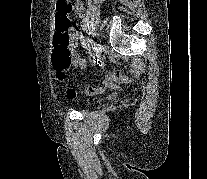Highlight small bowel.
<instances>
[{"mask_svg":"<svg viewBox=\"0 0 207 179\" xmlns=\"http://www.w3.org/2000/svg\"><path fill=\"white\" fill-rule=\"evenodd\" d=\"M103 0H88V5L89 7H95L97 5H99ZM75 14L82 18V25H84L85 20H84V8L83 5L81 4V2L79 0H76V4H75ZM72 32L70 34L71 37V42H70V47L72 49V53H73V63L76 67H80V68H84L86 66L85 64V60L78 55L75 52V48L78 45V34L76 32H74L73 28H71Z\"/></svg>","mask_w":207,"mask_h":179,"instance_id":"c3829d8e","label":"small bowel"}]
</instances>
